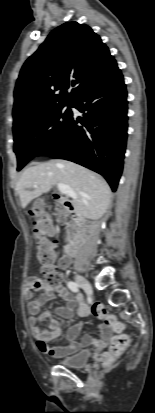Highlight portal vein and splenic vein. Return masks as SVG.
<instances>
[{
    "instance_id": "obj_1",
    "label": "portal vein and splenic vein",
    "mask_w": 155,
    "mask_h": 413,
    "mask_svg": "<svg viewBox=\"0 0 155 413\" xmlns=\"http://www.w3.org/2000/svg\"><path fill=\"white\" fill-rule=\"evenodd\" d=\"M59 191L64 194L68 195L72 198H76V193L72 190V188L68 185H65L63 183H57Z\"/></svg>"
}]
</instances>
